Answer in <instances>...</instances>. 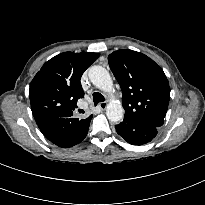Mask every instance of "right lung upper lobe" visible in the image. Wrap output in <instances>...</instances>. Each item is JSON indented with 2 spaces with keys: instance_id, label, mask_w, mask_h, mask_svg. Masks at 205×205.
Segmentation results:
<instances>
[{
  "instance_id": "1",
  "label": "right lung upper lobe",
  "mask_w": 205,
  "mask_h": 205,
  "mask_svg": "<svg viewBox=\"0 0 205 205\" xmlns=\"http://www.w3.org/2000/svg\"><path fill=\"white\" fill-rule=\"evenodd\" d=\"M98 57V53L64 52L42 66L29 90L31 110L38 125L49 119L64 118L67 138H76L83 132L92 116L81 120L72 116L77 100L84 96L81 76Z\"/></svg>"
}]
</instances>
